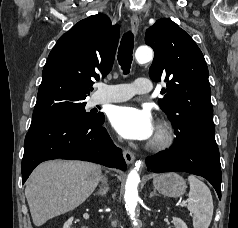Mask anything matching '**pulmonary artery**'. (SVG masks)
Listing matches in <instances>:
<instances>
[{
    "label": "pulmonary artery",
    "mask_w": 238,
    "mask_h": 228,
    "mask_svg": "<svg viewBox=\"0 0 238 228\" xmlns=\"http://www.w3.org/2000/svg\"><path fill=\"white\" fill-rule=\"evenodd\" d=\"M150 90L151 81L147 78H137L131 84H101L95 96V101L96 103L121 102L136 94L148 93Z\"/></svg>",
    "instance_id": "pulmonary-artery-1"
}]
</instances>
